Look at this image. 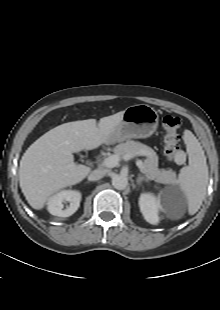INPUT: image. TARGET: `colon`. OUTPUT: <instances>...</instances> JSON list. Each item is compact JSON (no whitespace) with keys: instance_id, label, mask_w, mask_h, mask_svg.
<instances>
[{"instance_id":"colon-1","label":"colon","mask_w":220,"mask_h":310,"mask_svg":"<svg viewBox=\"0 0 220 310\" xmlns=\"http://www.w3.org/2000/svg\"><path fill=\"white\" fill-rule=\"evenodd\" d=\"M162 126L165 131L164 153L176 163H183L186 155L180 147V118L175 115H166L163 117Z\"/></svg>"}]
</instances>
